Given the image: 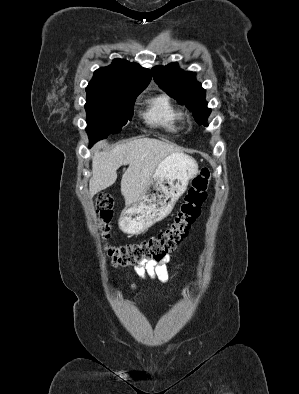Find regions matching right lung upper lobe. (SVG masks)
<instances>
[{"label": "right lung upper lobe", "mask_w": 299, "mask_h": 394, "mask_svg": "<svg viewBox=\"0 0 299 394\" xmlns=\"http://www.w3.org/2000/svg\"><path fill=\"white\" fill-rule=\"evenodd\" d=\"M151 80V71L137 63L124 59H114L112 64L94 72L89 82L87 93H105L114 91L142 92Z\"/></svg>", "instance_id": "cb5924a9"}]
</instances>
